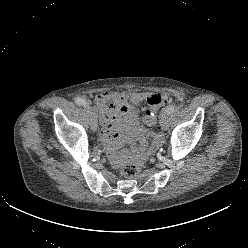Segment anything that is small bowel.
Wrapping results in <instances>:
<instances>
[{
	"instance_id": "obj_1",
	"label": "small bowel",
	"mask_w": 248,
	"mask_h": 248,
	"mask_svg": "<svg viewBox=\"0 0 248 248\" xmlns=\"http://www.w3.org/2000/svg\"><path fill=\"white\" fill-rule=\"evenodd\" d=\"M149 98L150 95L147 93L114 91L102 92L96 96L95 103L99 109L102 136L107 146L108 158L113 165L119 166L122 163V156L116 152L115 144L126 136L137 141L132 151L139 154L152 151L158 143L159 139L155 136V142L147 148V137H152L153 134L145 131L138 122L137 105ZM121 126L124 127L125 134L118 131Z\"/></svg>"
}]
</instances>
